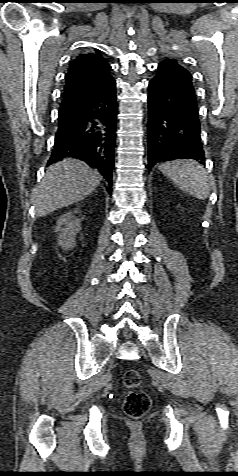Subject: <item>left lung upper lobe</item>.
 <instances>
[{"label":"left lung upper lobe","mask_w":238,"mask_h":476,"mask_svg":"<svg viewBox=\"0 0 238 476\" xmlns=\"http://www.w3.org/2000/svg\"><path fill=\"white\" fill-rule=\"evenodd\" d=\"M159 65L169 68L171 73L178 77L183 84L194 90L192 84V75L187 69L179 65L175 59L164 60Z\"/></svg>","instance_id":"1"}]
</instances>
